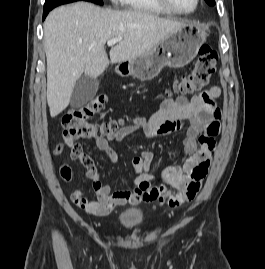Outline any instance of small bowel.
<instances>
[{"label": "small bowel", "mask_w": 265, "mask_h": 269, "mask_svg": "<svg viewBox=\"0 0 265 269\" xmlns=\"http://www.w3.org/2000/svg\"><path fill=\"white\" fill-rule=\"evenodd\" d=\"M219 95V87L213 86L190 99L182 96L167 98L148 120L135 119L116 134L97 137L95 145L106 159L116 162L118 154L111 146L112 141H122L137 131H142L147 137L169 135L179 131L183 122H188L183 139L184 155L187 160L184 165L168 168L163 173L165 183L177 188L184 202L188 200L187 194L191 185L199 190L209 171L215 148V135H210L208 130L213 122L219 127L220 110L215 104V98ZM69 149L71 158L85 168L86 177L90 179L96 196L95 200H89L82 190H75L71 194V200L77 207L95 216H105L119 206L152 201L146 192L154 180L149 172L153 160L150 151H141L133 158L136 171L134 187L131 190L112 191L110 186L101 182L100 172L93 159L83 152L79 143L72 142ZM170 205L176 206L172 203Z\"/></svg>", "instance_id": "small-bowel-1"}]
</instances>
